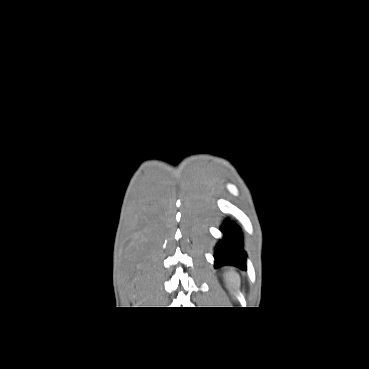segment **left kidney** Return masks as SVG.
Listing matches in <instances>:
<instances>
[{"label": "left kidney", "mask_w": 369, "mask_h": 369, "mask_svg": "<svg viewBox=\"0 0 369 369\" xmlns=\"http://www.w3.org/2000/svg\"><path fill=\"white\" fill-rule=\"evenodd\" d=\"M237 278H238L237 274H234V273H227L226 274V281H227L228 285H230V286H234V285L237 284Z\"/></svg>", "instance_id": "obj_1"}]
</instances>
